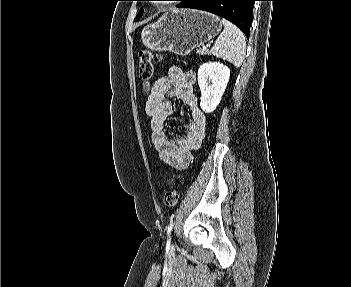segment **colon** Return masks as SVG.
<instances>
[{"label":"colon","mask_w":351,"mask_h":287,"mask_svg":"<svg viewBox=\"0 0 351 287\" xmlns=\"http://www.w3.org/2000/svg\"><path fill=\"white\" fill-rule=\"evenodd\" d=\"M139 75L144 81L145 88L149 89V82L155 73L157 56L150 51L144 50L139 53ZM179 201V191L173 187L164 195V204L167 207H174Z\"/></svg>","instance_id":"5ec220e1"}]
</instances>
